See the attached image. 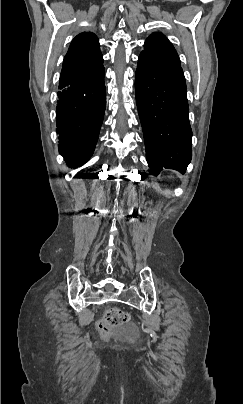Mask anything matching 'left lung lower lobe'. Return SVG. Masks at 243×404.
Here are the masks:
<instances>
[{
    "instance_id": "1",
    "label": "left lung lower lobe",
    "mask_w": 243,
    "mask_h": 404,
    "mask_svg": "<svg viewBox=\"0 0 243 404\" xmlns=\"http://www.w3.org/2000/svg\"><path fill=\"white\" fill-rule=\"evenodd\" d=\"M135 92L152 174L163 168L184 173L192 157V130L181 66L140 54Z\"/></svg>"
}]
</instances>
